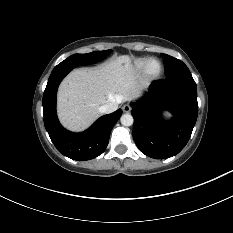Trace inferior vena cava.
<instances>
[{"label":"inferior vena cava","mask_w":233,"mask_h":233,"mask_svg":"<svg viewBox=\"0 0 233 233\" xmlns=\"http://www.w3.org/2000/svg\"><path fill=\"white\" fill-rule=\"evenodd\" d=\"M117 109H118V103L110 102V103H107V104L101 106L99 108V112L108 114V113H112V112L116 111Z\"/></svg>","instance_id":"1"}]
</instances>
